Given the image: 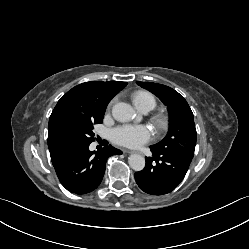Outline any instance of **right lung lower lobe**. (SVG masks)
I'll use <instances>...</instances> for the list:
<instances>
[{
    "instance_id": "98d812e1",
    "label": "right lung lower lobe",
    "mask_w": 249,
    "mask_h": 249,
    "mask_svg": "<svg viewBox=\"0 0 249 249\" xmlns=\"http://www.w3.org/2000/svg\"><path fill=\"white\" fill-rule=\"evenodd\" d=\"M122 151L105 144L102 150L90 151L89 145L72 149L53 164L61 184L70 192L85 194L96 189L102 181L108 157Z\"/></svg>"
}]
</instances>
